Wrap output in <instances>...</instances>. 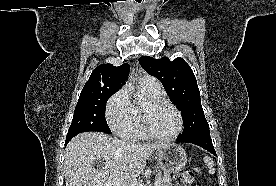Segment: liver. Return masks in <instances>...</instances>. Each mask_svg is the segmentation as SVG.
Masks as SVG:
<instances>
[{
  "mask_svg": "<svg viewBox=\"0 0 276 186\" xmlns=\"http://www.w3.org/2000/svg\"><path fill=\"white\" fill-rule=\"evenodd\" d=\"M167 144H137L112 138L98 132L75 136L65 149L66 186H133L142 173L146 160ZM97 160L104 166L95 168Z\"/></svg>",
  "mask_w": 276,
  "mask_h": 186,
  "instance_id": "1",
  "label": "liver"
}]
</instances>
